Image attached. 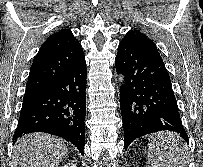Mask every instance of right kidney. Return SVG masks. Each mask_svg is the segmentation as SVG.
Instances as JSON below:
<instances>
[{"instance_id":"right-kidney-1","label":"right kidney","mask_w":203,"mask_h":167,"mask_svg":"<svg viewBox=\"0 0 203 167\" xmlns=\"http://www.w3.org/2000/svg\"><path fill=\"white\" fill-rule=\"evenodd\" d=\"M63 167H77V166L74 162H69L66 165H64Z\"/></svg>"}]
</instances>
